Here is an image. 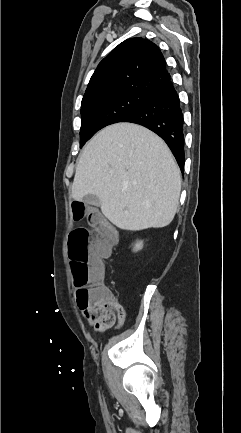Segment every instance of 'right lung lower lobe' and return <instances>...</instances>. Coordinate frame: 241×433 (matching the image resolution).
<instances>
[{"label": "right lung lower lobe", "mask_w": 241, "mask_h": 433, "mask_svg": "<svg viewBox=\"0 0 241 433\" xmlns=\"http://www.w3.org/2000/svg\"><path fill=\"white\" fill-rule=\"evenodd\" d=\"M122 122L140 124L159 135L184 170L183 114L178 94L171 80L154 87L144 103Z\"/></svg>", "instance_id": "right-lung-lower-lobe-1"}]
</instances>
